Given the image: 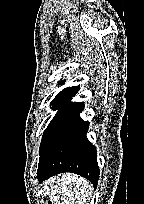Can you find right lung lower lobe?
I'll use <instances>...</instances> for the list:
<instances>
[{"instance_id":"98d812e1","label":"right lung lower lobe","mask_w":144,"mask_h":204,"mask_svg":"<svg viewBox=\"0 0 144 204\" xmlns=\"http://www.w3.org/2000/svg\"><path fill=\"white\" fill-rule=\"evenodd\" d=\"M83 109V103L74 102L60 119L40 153L37 171L40 182L58 173L73 172L97 186L100 172L96 148L86 138L89 123L79 116Z\"/></svg>"}]
</instances>
